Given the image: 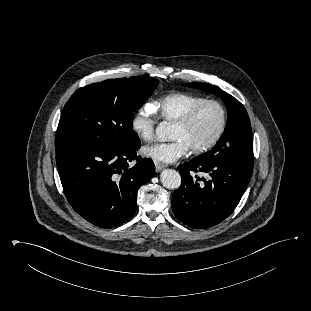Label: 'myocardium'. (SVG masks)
<instances>
[{
  "label": "myocardium",
  "instance_id": "f54148a6",
  "mask_svg": "<svg viewBox=\"0 0 311 311\" xmlns=\"http://www.w3.org/2000/svg\"><path fill=\"white\" fill-rule=\"evenodd\" d=\"M207 105H214L219 109V111H220V124H219L217 131L215 132L213 137L208 142H206L205 144H203L201 146L190 148L191 151L194 153H203V152H206V151L212 149L218 143L220 138L222 137V135L225 131L226 125H227V110H226L225 106L220 101H217L214 99H205L204 101H202V102L198 103L197 105H195L194 107H192L179 120L174 122V125L179 126V127L189 126L191 124V122L194 120V118L197 116L199 111Z\"/></svg>",
  "mask_w": 311,
  "mask_h": 311
}]
</instances>
